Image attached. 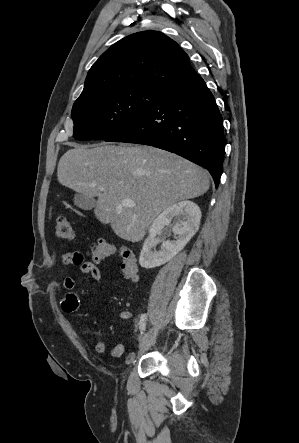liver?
<instances>
[{
	"label": "liver",
	"instance_id": "obj_1",
	"mask_svg": "<svg viewBox=\"0 0 299 443\" xmlns=\"http://www.w3.org/2000/svg\"><path fill=\"white\" fill-rule=\"evenodd\" d=\"M57 177L65 187L98 197L96 218L131 242L142 240L167 207L201 196L210 186L200 166L149 146L76 145L60 158ZM124 199L134 206L119 208Z\"/></svg>",
	"mask_w": 299,
	"mask_h": 443
}]
</instances>
